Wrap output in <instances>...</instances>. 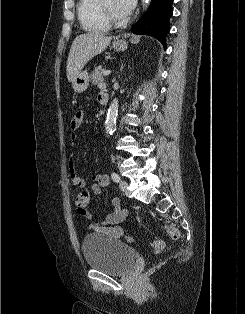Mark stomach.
<instances>
[{"label": "stomach", "instance_id": "stomach-1", "mask_svg": "<svg viewBox=\"0 0 245 314\" xmlns=\"http://www.w3.org/2000/svg\"><path fill=\"white\" fill-rule=\"evenodd\" d=\"M132 43H137V38L131 39ZM113 48L116 51H125L127 49V42L125 40H120L113 43ZM72 86L75 92L83 93L87 90L89 86V74L87 71H79L72 81Z\"/></svg>", "mask_w": 245, "mask_h": 314}]
</instances>
